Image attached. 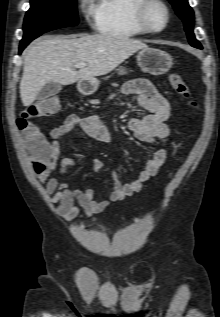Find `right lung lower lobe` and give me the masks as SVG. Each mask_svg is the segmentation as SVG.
<instances>
[{
	"label": "right lung lower lobe",
	"mask_w": 220,
	"mask_h": 317,
	"mask_svg": "<svg viewBox=\"0 0 220 317\" xmlns=\"http://www.w3.org/2000/svg\"><path fill=\"white\" fill-rule=\"evenodd\" d=\"M31 41H32V40L26 41V42H21V43H20L19 54L23 51V49H24Z\"/></svg>",
	"instance_id": "obj_1"
}]
</instances>
